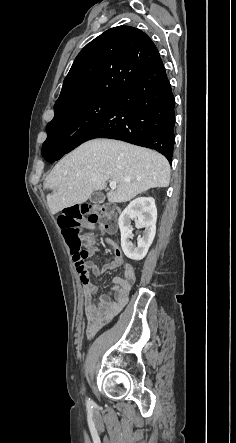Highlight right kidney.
Returning a JSON list of instances; mask_svg holds the SVG:
<instances>
[{
	"instance_id": "right-kidney-1",
	"label": "right kidney",
	"mask_w": 236,
	"mask_h": 443,
	"mask_svg": "<svg viewBox=\"0 0 236 443\" xmlns=\"http://www.w3.org/2000/svg\"><path fill=\"white\" fill-rule=\"evenodd\" d=\"M137 220L140 228H144L142 237H138L137 246L133 244L131 221ZM157 209L152 197L134 199L121 213L118 224L121 232V247L124 254L132 260L145 257L156 233Z\"/></svg>"
}]
</instances>
